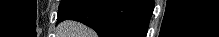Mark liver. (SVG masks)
Wrapping results in <instances>:
<instances>
[{
  "label": "liver",
  "mask_w": 219,
  "mask_h": 37,
  "mask_svg": "<svg viewBox=\"0 0 219 37\" xmlns=\"http://www.w3.org/2000/svg\"><path fill=\"white\" fill-rule=\"evenodd\" d=\"M59 37H94L95 33L85 25L67 20L62 22L57 29Z\"/></svg>",
  "instance_id": "1"
}]
</instances>
